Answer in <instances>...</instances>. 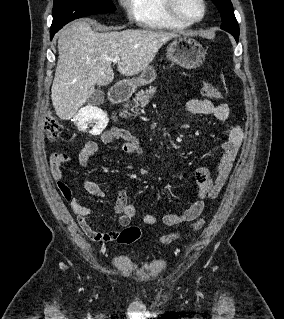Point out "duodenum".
Instances as JSON below:
<instances>
[{
    "label": "duodenum",
    "mask_w": 284,
    "mask_h": 319,
    "mask_svg": "<svg viewBox=\"0 0 284 319\" xmlns=\"http://www.w3.org/2000/svg\"><path fill=\"white\" fill-rule=\"evenodd\" d=\"M129 97V92L121 86L113 87L109 92V99L113 105L121 104Z\"/></svg>",
    "instance_id": "duodenum-1"
}]
</instances>
